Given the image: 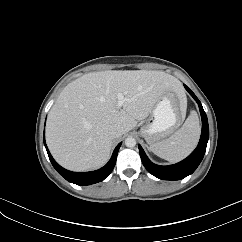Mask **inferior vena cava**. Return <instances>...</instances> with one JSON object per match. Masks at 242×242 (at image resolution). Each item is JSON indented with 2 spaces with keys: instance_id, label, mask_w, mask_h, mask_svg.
<instances>
[{
  "instance_id": "inferior-vena-cava-1",
  "label": "inferior vena cava",
  "mask_w": 242,
  "mask_h": 242,
  "mask_svg": "<svg viewBox=\"0 0 242 242\" xmlns=\"http://www.w3.org/2000/svg\"><path fill=\"white\" fill-rule=\"evenodd\" d=\"M110 134L113 138H118L123 135V129L120 126H112L110 129Z\"/></svg>"
}]
</instances>
